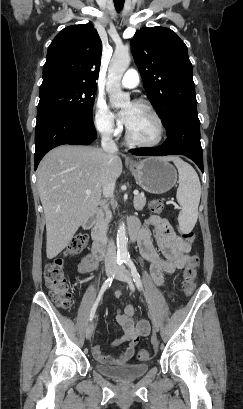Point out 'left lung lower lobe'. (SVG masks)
Masks as SVG:
<instances>
[{"instance_id": "left-lung-lower-lobe-1", "label": "left lung lower lobe", "mask_w": 243, "mask_h": 409, "mask_svg": "<svg viewBox=\"0 0 243 409\" xmlns=\"http://www.w3.org/2000/svg\"><path fill=\"white\" fill-rule=\"evenodd\" d=\"M168 138L157 147L132 149L131 153L141 156L184 155L193 160L203 172V153L200 143V121L197 105L178 112L165 127Z\"/></svg>"}]
</instances>
